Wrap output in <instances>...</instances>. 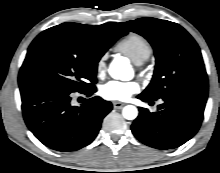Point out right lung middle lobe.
Masks as SVG:
<instances>
[{
	"label": "right lung middle lobe",
	"mask_w": 220,
	"mask_h": 173,
	"mask_svg": "<svg viewBox=\"0 0 220 173\" xmlns=\"http://www.w3.org/2000/svg\"><path fill=\"white\" fill-rule=\"evenodd\" d=\"M100 58L88 41L73 36H47L36 44L21 72L28 85L81 92L97 83Z\"/></svg>",
	"instance_id": "obj_1"
}]
</instances>
